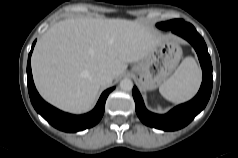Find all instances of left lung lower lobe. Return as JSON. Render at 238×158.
Returning a JSON list of instances; mask_svg holds the SVG:
<instances>
[{"mask_svg":"<svg viewBox=\"0 0 238 158\" xmlns=\"http://www.w3.org/2000/svg\"><path fill=\"white\" fill-rule=\"evenodd\" d=\"M165 26L167 29H171L173 33L190 42L196 50L203 71L200 90L191 101L175 107L164 115L149 112L145 108L143 99L136 87L133 88V98L135 100L136 113L144 124L165 131H174L188 125L208 103L213 84L212 63L207 46L193 25L190 23L176 24V20H171Z\"/></svg>","mask_w":238,"mask_h":158,"instance_id":"0a47b994","label":"left lung lower lobe"}]
</instances>
